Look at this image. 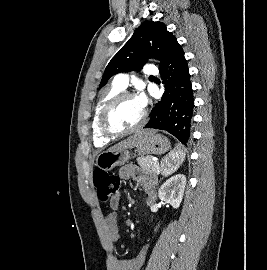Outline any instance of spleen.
I'll return each instance as SVG.
<instances>
[{"label":"spleen","mask_w":267,"mask_h":270,"mask_svg":"<svg viewBox=\"0 0 267 270\" xmlns=\"http://www.w3.org/2000/svg\"><path fill=\"white\" fill-rule=\"evenodd\" d=\"M185 159L181 147L178 145L174 151H171L168 156L164 157L161 163V171L163 175L174 173Z\"/></svg>","instance_id":"1"}]
</instances>
